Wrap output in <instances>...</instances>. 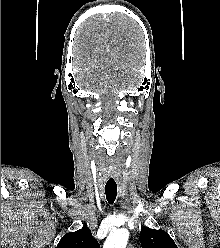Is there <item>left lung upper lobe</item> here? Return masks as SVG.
I'll list each match as a JSON object with an SVG mask.
<instances>
[{
    "mask_svg": "<svg viewBox=\"0 0 220 248\" xmlns=\"http://www.w3.org/2000/svg\"><path fill=\"white\" fill-rule=\"evenodd\" d=\"M140 243L143 248H178L164 230L144 227L140 232Z\"/></svg>",
    "mask_w": 220,
    "mask_h": 248,
    "instance_id": "obj_1",
    "label": "left lung upper lobe"
}]
</instances>
